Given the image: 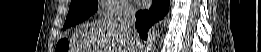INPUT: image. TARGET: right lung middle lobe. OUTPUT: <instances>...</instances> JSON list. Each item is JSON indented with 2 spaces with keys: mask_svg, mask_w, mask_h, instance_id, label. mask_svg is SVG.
I'll return each instance as SVG.
<instances>
[{
  "mask_svg": "<svg viewBox=\"0 0 261 52\" xmlns=\"http://www.w3.org/2000/svg\"><path fill=\"white\" fill-rule=\"evenodd\" d=\"M98 9L97 0H71L63 30L85 20Z\"/></svg>",
  "mask_w": 261,
  "mask_h": 52,
  "instance_id": "obj_1",
  "label": "right lung middle lobe"
}]
</instances>
